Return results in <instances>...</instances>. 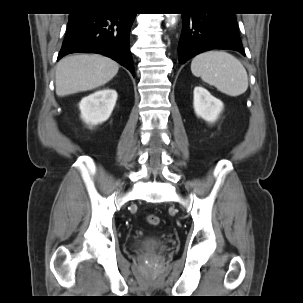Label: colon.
<instances>
[{"label":"colon","mask_w":303,"mask_h":303,"mask_svg":"<svg viewBox=\"0 0 303 303\" xmlns=\"http://www.w3.org/2000/svg\"><path fill=\"white\" fill-rule=\"evenodd\" d=\"M147 222L150 224V225H153V226H156L159 224L160 222V219L157 215H148L147 216Z\"/></svg>","instance_id":"colon-1"}]
</instances>
